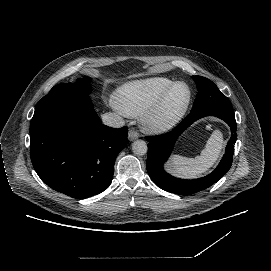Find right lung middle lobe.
I'll return each mask as SVG.
<instances>
[{
    "label": "right lung middle lobe",
    "instance_id": "right-lung-middle-lobe-1",
    "mask_svg": "<svg viewBox=\"0 0 271 271\" xmlns=\"http://www.w3.org/2000/svg\"><path fill=\"white\" fill-rule=\"evenodd\" d=\"M88 81H90V78H81L76 83L54 86L50 92L37 103L35 110L59 101L89 99L87 95L90 93L91 88Z\"/></svg>",
    "mask_w": 271,
    "mask_h": 271
}]
</instances>
